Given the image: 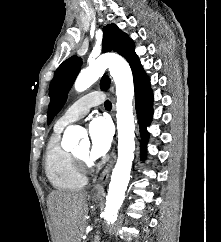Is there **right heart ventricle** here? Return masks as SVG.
<instances>
[{"instance_id":"1","label":"right heart ventricle","mask_w":221,"mask_h":242,"mask_svg":"<svg viewBox=\"0 0 221 242\" xmlns=\"http://www.w3.org/2000/svg\"><path fill=\"white\" fill-rule=\"evenodd\" d=\"M62 130L55 126L48 140L44 161L46 177L57 190L80 189L87 180L74 155L61 147L59 138Z\"/></svg>"}]
</instances>
